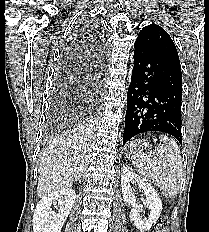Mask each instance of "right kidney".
<instances>
[{
	"label": "right kidney",
	"mask_w": 209,
	"mask_h": 232,
	"mask_svg": "<svg viewBox=\"0 0 209 232\" xmlns=\"http://www.w3.org/2000/svg\"><path fill=\"white\" fill-rule=\"evenodd\" d=\"M75 199L76 193L71 188H61L42 197L34 211L33 232H61ZM57 204L59 209L55 212L51 206Z\"/></svg>",
	"instance_id": "1"
}]
</instances>
